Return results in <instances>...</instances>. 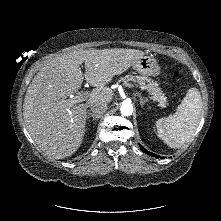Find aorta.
Segmentation results:
<instances>
[{
    "label": "aorta",
    "instance_id": "aorta-1",
    "mask_svg": "<svg viewBox=\"0 0 221 221\" xmlns=\"http://www.w3.org/2000/svg\"><path fill=\"white\" fill-rule=\"evenodd\" d=\"M120 111L122 115L130 116L133 112V105L130 101L125 100L122 102V105L120 107Z\"/></svg>",
    "mask_w": 221,
    "mask_h": 221
}]
</instances>
